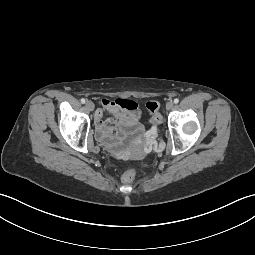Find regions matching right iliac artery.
<instances>
[{"label": "right iliac artery", "instance_id": "right-iliac-artery-1", "mask_svg": "<svg viewBox=\"0 0 255 255\" xmlns=\"http://www.w3.org/2000/svg\"><path fill=\"white\" fill-rule=\"evenodd\" d=\"M86 101L84 98L81 99V103L84 104Z\"/></svg>", "mask_w": 255, "mask_h": 255}]
</instances>
